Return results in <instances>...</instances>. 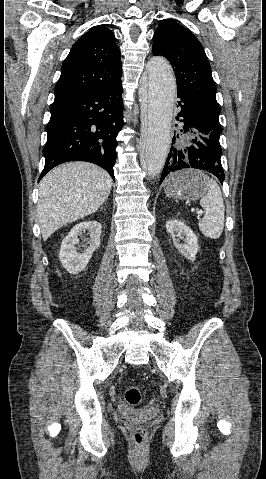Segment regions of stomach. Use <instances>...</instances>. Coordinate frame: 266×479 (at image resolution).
I'll use <instances>...</instances> for the list:
<instances>
[{"instance_id":"stomach-1","label":"stomach","mask_w":266,"mask_h":479,"mask_svg":"<svg viewBox=\"0 0 266 479\" xmlns=\"http://www.w3.org/2000/svg\"><path fill=\"white\" fill-rule=\"evenodd\" d=\"M208 178L195 169H187L171 174L164 184L165 193L175 199L196 200L205 195Z\"/></svg>"}]
</instances>
